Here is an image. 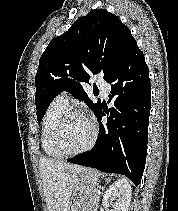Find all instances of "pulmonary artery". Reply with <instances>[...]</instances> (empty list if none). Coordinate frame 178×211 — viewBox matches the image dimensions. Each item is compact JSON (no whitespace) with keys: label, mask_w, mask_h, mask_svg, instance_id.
<instances>
[{"label":"pulmonary artery","mask_w":178,"mask_h":211,"mask_svg":"<svg viewBox=\"0 0 178 211\" xmlns=\"http://www.w3.org/2000/svg\"><path fill=\"white\" fill-rule=\"evenodd\" d=\"M96 84L100 90L101 95L104 98H107L110 87L109 85L103 80V79H96ZM59 98L61 101H63L65 104L69 105L70 102V95L68 92L64 91L59 95Z\"/></svg>","instance_id":"pulmonary-artery-1"}]
</instances>
